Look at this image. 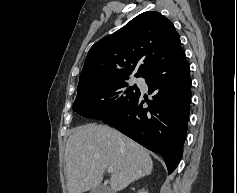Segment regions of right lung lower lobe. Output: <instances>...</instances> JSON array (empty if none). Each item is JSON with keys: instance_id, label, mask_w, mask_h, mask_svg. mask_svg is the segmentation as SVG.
<instances>
[{"instance_id": "right-lung-lower-lobe-1", "label": "right lung lower lobe", "mask_w": 237, "mask_h": 193, "mask_svg": "<svg viewBox=\"0 0 237 193\" xmlns=\"http://www.w3.org/2000/svg\"><path fill=\"white\" fill-rule=\"evenodd\" d=\"M190 65L183 49L151 69L144 78L153 99L143 107L141 93L120 112L102 121L147 149L162 155L168 173L183 153L191 99Z\"/></svg>"}]
</instances>
